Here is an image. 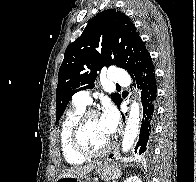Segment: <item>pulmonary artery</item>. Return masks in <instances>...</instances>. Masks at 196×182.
<instances>
[{
    "mask_svg": "<svg viewBox=\"0 0 196 182\" xmlns=\"http://www.w3.org/2000/svg\"><path fill=\"white\" fill-rule=\"evenodd\" d=\"M109 79L111 83L117 84V85H123L128 86L129 85V76L125 71L111 68L109 70ZM73 101L75 103L81 104V105H88L91 103V98L89 95V91H80L77 92L74 97Z\"/></svg>",
    "mask_w": 196,
    "mask_h": 182,
    "instance_id": "1",
    "label": "pulmonary artery"
}]
</instances>
